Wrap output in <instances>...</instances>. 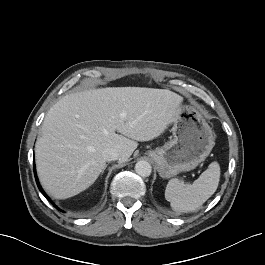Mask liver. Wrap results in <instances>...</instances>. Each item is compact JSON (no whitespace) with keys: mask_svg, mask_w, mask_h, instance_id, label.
Here are the masks:
<instances>
[{"mask_svg":"<svg viewBox=\"0 0 265 265\" xmlns=\"http://www.w3.org/2000/svg\"><path fill=\"white\" fill-rule=\"evenodd\" d=\"M182 101L170 90L145 87H107L64 96L46 114L35 146L43 188L56 199L86 190L106 166V149H115L119 162L127 161L137 141L153 140L167 129Z\"/></svg>","mask_w":265,"mask_h":265,"instance_id":"obj_1","label":"liver"}]
</instances>
